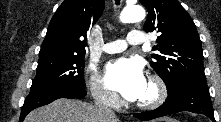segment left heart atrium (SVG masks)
I'll return each mask as SVG.
<instances>
[{
    "mask_svg": "<svg viewBox=\"0 0 221 122\" xmlns=\"http://www.w3.org/2000/svg\"><path fill=\"white\" fill-rule=\"evenodd\" d=\"M106 86L129 101L139 100L147 80L141 62L134 58L122 57L105 67Z\"/></svg>",
    "mask_w": 221,
    "mask_h": 122,
    "instance_id": "39dd6f15",
    "label": "left heart atrium"
}]
</instances>
